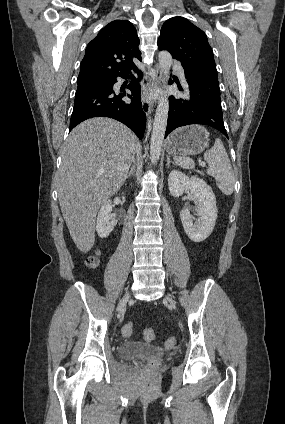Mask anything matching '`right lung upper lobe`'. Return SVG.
Returning <instances> with one entry per match:
<instances>
[{"label": "right lung upper lobe", "instance_id": "1", "mask_svg": "<svg viewBox=\"0 0 285 424\" xmlns=\"http://www.w3.org/2000/svg\"><path fill=\"white\" fill-rule=\"evenodd\" d=\"M140 40L133 24L115 20L107 24L86 47L78 85L106 82L136 69L132 58L141 61Z\"/></svg>", "mask_w": 285, "mask_h": 424}]
</instances>
